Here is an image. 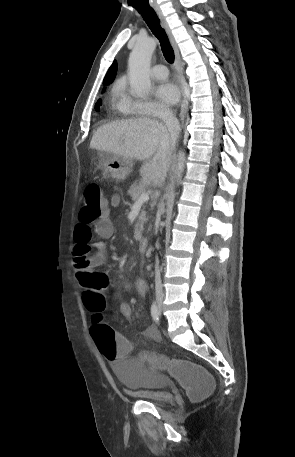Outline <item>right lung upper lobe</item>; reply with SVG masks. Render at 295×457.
<instances>
[{
  "label": "right lung upper lobe",
  "mask_w": 295,
  "mask_h": 457,
  "mask_svg": "<svg viewBox=\"0 0 295 457\" xmlns=\"http://www.w3.org/2000/svg\"><path fill=\"white\" fill-rule=\"evenodd\" d=\"M116 70H117V63H116V61H114L103 80V84L107 85L108 83H110L113 80V78L116 75Z\"/></svg>",
  "instance_id": "cb5924a9"
}]
</instances>
